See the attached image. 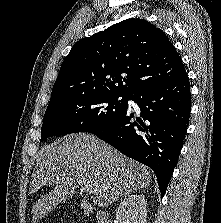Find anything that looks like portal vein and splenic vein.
<instances>
[{"label": "portal vein and splenic vein", "mask_w": 221, "mask_h": 223, "mask_svg": "<svg viewBox=\"0 0 221 223\" xmlns=\"http://www.w3.org/2000/svg\"><path fill=\"white\" fill-rule=\"evenodd\" d=\"M78 185L80 186L81 191H85L89 194L93 193L92 188H90V186H88L86 184H83V183H80V182L78 183Z\"/></svg>", "instance_id": "18ae733b"}]
</instances>
